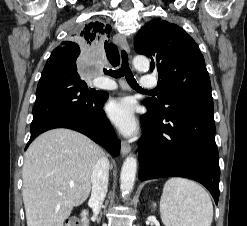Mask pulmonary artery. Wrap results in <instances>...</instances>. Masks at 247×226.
<instances>
[{"label":"pulmonary artery","instance_id":"pulmonary-artery-1","mask_svg":"<svg viewBox=\"0 0 247 226\" xmlns=\"http://www.w3.org/2000/svg\"><path fill=\"white\" fill-rule=\"evenodd\" d=\"M158 85L157 80L153 77L150 76H145L141 80V87L144 89H154ZM98 86L102 89H107V90H115L117 88V85L115 82L108 80V79H103Z\"/></svg>","mask_w":247,"mask_h":226}]
</instances>
